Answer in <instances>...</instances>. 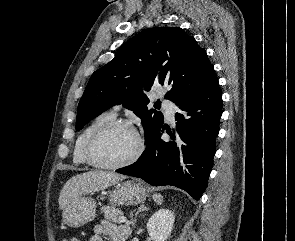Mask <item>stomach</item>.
Listing matches in <instances>:
<instances>
[{"label": "stomach", "instance_id": "stomach-1", "mask_svg": "<svg viewBox=\"0 0 295 241\" xmlns=\"http://www.w3.org/2000/svg\"><path fill=\"white\" fill-rule=\"evenodd\" d=\"M148 196L146 186L140 180H126L116 185L110 194V202L117 205H136ZM96 216V202L91 197H80L68 205L62 213V221L69 227L78 228Z\"/></svg>", "mask_w": 295, "mask_h": 241}]
</instances>
